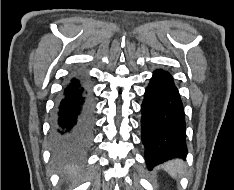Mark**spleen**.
<instances>
[{
    "instance_id": "obj_1",
    "label": "spleen",
    "mask_w": 234,
    "mask_h": 190,
    "mask_svg": "<svg viewBox=\"0 0 234 190\" xmlns=\"http://www.w3.org/2000/svg\"><path fill=\"white\" fill-rule=\"evenodd\" d=\"M165 169L171 177L176 178L184 174L185 164L181 160L175 159L167 162L165 164Z\"/></svg>"
}]
</instances>
